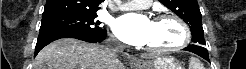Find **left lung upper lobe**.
<instances>
[{"mask_svg": "<svg viewBox=\"0 0 246 69\" xmlns=\"http://www.w3.org/2000/svg\"><path fill=\"white\" fill-rule=\"evenodd\" d=\"M164 6L183 19L190 27L192 42L204 46V31L202 28L201 12L197 0H159Z\"/></svg>", "mask_w": 246, "mask_h": 69, "instance_id": "obj_1", "label": "left lung upper lobe"}]
</instances>
